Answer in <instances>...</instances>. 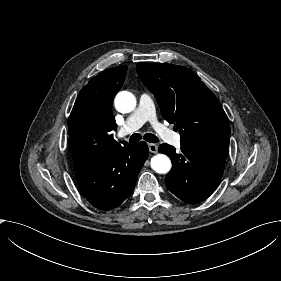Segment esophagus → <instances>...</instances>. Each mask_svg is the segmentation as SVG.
I'll use <instances>...</instances> for the list:
<instances>
[{
	"label": "esophagus",
	"instance_id": "34e87169",
	"mask_svg": "<svg viewBox=\"0 0 281 281\" xmlns=\"http://www.w3.org/2000/svg\"><path fill=\"white\" fill-rule=\"evenodd\" d=\"M148 148L152 153H157L158 151V146L156 144L148 143Z\"/></svg>",
	"mask_w": 281,
	"mask_h": 281
}]
</instances>
